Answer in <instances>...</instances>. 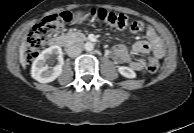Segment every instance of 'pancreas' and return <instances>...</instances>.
<instances>
[{
    "mask_svg": "<svg viewBox=\"0 0 194 133\" xmlns=\"http://www.w3.org/2000/svg\"><path fill=\"white\" fill-rule=\"evenodd\" d=\"M65 38L70 42H77L85 38V35L80 32H68L65 34Z\"/></svg>",
    "mask_w": 194,
    "mask_h": 133,
    "instance_id": "cf45deb5",
    "label": "pancreas"
}]
</instances>
